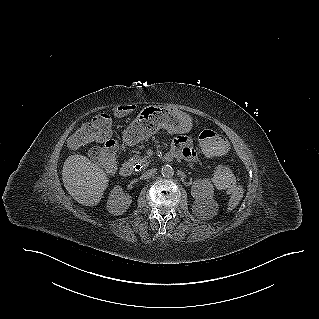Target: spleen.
Returning <instances> with one entry per match:
<instances>
[{"mask_svg":"<svg viewBox=\"0 0 319 319\" xmlns=\"http://www.w3.org/2000/svg\"><path fill=\"white\" fill-rule=\"evenodd\" d=\"M243 193H244V189L242 186H238L233 190L232 195L228 202V206H227L228 212L236 208V206L239 204L240 200L243 197Z\"/></svg>","mask_w":319,"mask_h":319,"instance_id":"spleen-1","label":"spleen"}]
</instances>
